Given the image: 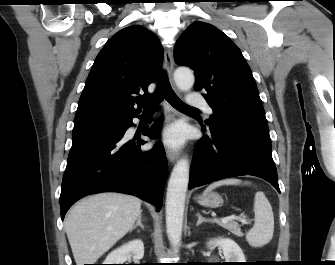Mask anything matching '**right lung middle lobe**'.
Masks as SVG:
<instances>
[{"label":"right lung middle lobe","instance_id":"obj_1","mask_svg":"<svg viewBox=\"0 0 335 265\" xmlns=\"http://www.w3.org/2000/svg\"><path fill=\"white\" fill-rule=\"evenodd\" d=\"M121 127L122 123L86 124L74 126L72 131V140L100 134H115Z\"/></svg>","mask_w":335,"mask_h":265}]
</instances>
